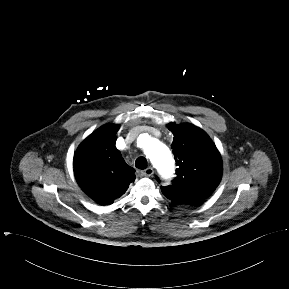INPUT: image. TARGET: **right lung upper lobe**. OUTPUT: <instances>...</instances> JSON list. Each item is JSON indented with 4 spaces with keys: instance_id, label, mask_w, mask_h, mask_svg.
<instances>
[{
    "instance_id": "obj_1",
    "label": "right lung upper lobe",
    "mask_w": 289,
    "mask_h": 289,
    "mask_svg": "<svg viewBox=\"0 0 289 289\" xmlns=\"http://www.w3.org/2000/svg\"><path fill=\"white\" fill-rule=\"evenodd\" d=\"M119 125L100 127L78 147L74 173L82 190L101 205L112 204L135 180L134 169L115 146Z\"/></svg>"
}]
</instances>
